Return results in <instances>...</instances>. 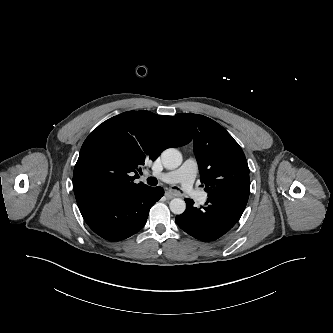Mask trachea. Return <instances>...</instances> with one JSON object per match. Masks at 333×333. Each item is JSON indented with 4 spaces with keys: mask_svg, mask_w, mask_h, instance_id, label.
<instances>
[{
    "mask_svg": "<svg viewBox=\"0 0 333 333\" xmlns=\"http://www.w3.org/2000/svg\"><path fill=\"white\" fill-rule=\"evenodd\" d=\"M147 183H148L149 185H151V186H156L157 183H158V181H157V179H156L155 177H149V178L147 179ZM173 189H177V190H179V189L176 188V187H173Z\"/></svg>",
    "mask_w": 333,
    "mask_h": 333,
    "instance_id": "1",
    "label": "trachea"
}]
</instances>
